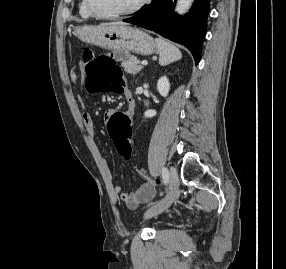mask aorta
Segmentation results:
<instances>
[{"mask_svg":"<svg viewBox=\"0 0 286 269\" xmlns=\"http://www.w3.org/2000/svg\"><path fill=\"white\" fill-rule=\"evenodd\" d=\"M194 0H177L175 11L178 14H185L191 7Z\"/></svg>","mask_w":286,"mask_h":269,"instance_id":"obj_1","label":"aorta"}]
</instances>
